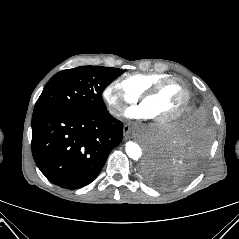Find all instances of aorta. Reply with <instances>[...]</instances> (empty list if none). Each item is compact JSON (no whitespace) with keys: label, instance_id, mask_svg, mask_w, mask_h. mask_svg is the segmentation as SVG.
<instances>
[{"label":"aorta","instance_id":"1","mask_svg":"<svg viewBox=\"0 0 239 239\" xmlns=\"http://www.w3.org/2000/svg\"><path fill=\"white\" fill-rule=\"evenodd\" d=\"M125 151L129 158L138 160L142 156V149L141 147L132 141L126 143Z\"/></svg>","mask_w":239,"mask_h":239}]
</instances>
